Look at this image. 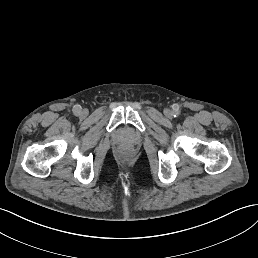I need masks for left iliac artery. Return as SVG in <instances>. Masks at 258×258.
I'll return each instance as SVG.
<instances>
[{"label": "left iliac artery", "mask_w": 258, "mask_h": 258, "mask_svg": "<svg viewBox=\"0 0 258 258\" xmlns=\"http://www.w3.org/2000/svg\"><path fill=\"white\" fill-rule=\"evenodd\" d=\"M172 115H173V117L176 118V117H178L180 115V112L176 110L175 112H173Z\"/></svg>", "instance_id": "44dca946"}]
</instances>
